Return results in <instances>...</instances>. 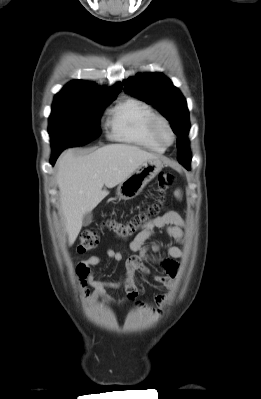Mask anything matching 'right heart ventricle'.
<instances>
[{
	"label": "right heart ventricle",
	"mask_w": 261,
	"mask_h": 399,
	"mask_svg": "<svg viewBox=\"0 0 261 399\" xmlns=\"http://www.w3.org/2000/svg\"><path fill=\"white\" fill-rule=\"evenodd\" d=\"M154 114L151 106L138 98L123 99L108 113L109 137L151 151L164 152L165 146L151 132L150 123Z\"/></svg>",
	"instance_id": "right-heart-ventricle-1"
}]
</instances>
